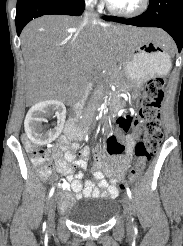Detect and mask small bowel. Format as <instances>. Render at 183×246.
Listing matches in <instances>:
<instances>
[{"label":"small bowel","mask_w":183,"mask_h":246,"mask_svg":"<svg viewBox=\"0 0 183 246\" xmlns=\"http://www.w3.org/2000/svg\"><path fill=\"white\" fill-rule=\"evenodd\" d=\"M80 133L84 135L83 131H80ZM118 139L123 144V147H127L124 157H109L108 153L106 155L100 151H96L92 177L83 183V172L79 171L76 173V170L78 168H87L90 150L88 148L81 149L79 151V158H76V151L79 149V144L76 141L70 143L68 138L61 137L57 145L51 149L52 154L57 160L58 171L65 175V179L59 184L60 188L71 190L76 194L77 199L98 195L97 187L106 189L109 196L116 197L119 190L115 184H108L105 175H108L113 182L122 178L130 165L136 144L133 134ZM71 203L72 198L69 194L65 193L61 195L63 211L67 210Z\"/></svg>","instance_id":"obj_1"}]
</instances>
